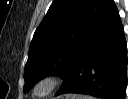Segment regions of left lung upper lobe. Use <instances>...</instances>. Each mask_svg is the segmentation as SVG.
<instances>
[{
	"label": "left lung upper lobe",
	"mask_w": 128,
	"mask_h": 99,
	"mask_svg": "<svg viewBox=\"0 0 128 99\" xmlns=\"http://www.w3.org/2000/svg\"><path fill=\"white\" fill-rule=\"evenodd\" d=\"M110 0H55L30 44L24 69L28 91L50 75L62 77L89 36Z\"/></svg>",
	"instance_id": "obj_1"
}]
</instances>
